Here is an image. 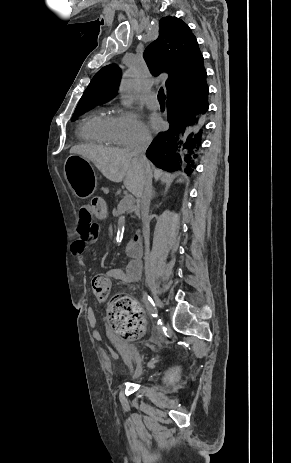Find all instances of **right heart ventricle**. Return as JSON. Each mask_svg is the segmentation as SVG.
Masks as SVG:
<instances>
[{
  "mask_svg": "<svg viewBox=\"0 0 291 463\" xmlns=\"http://www.w3.org/2000/svg\"><path fill=\"white\" fill-rule=\"evenodd\" d=\"M113 120L114 116L104 111L93 113L81 122L79 137L88 143L116 145L118 143L114 134Z\"/></svg>",
  "mask_w": 291,
  "mask_h": 463,
  "instance_id": "1",
  "label": "right heart ventricle"
}]
</instances>
